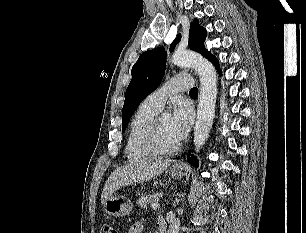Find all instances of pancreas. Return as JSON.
<instances>
[{
  "label": "pancreas",
  "instance_id": "pancreas-1",
  "mask_svg": "<svg viewBox=\"0 0 306 233\" xmlns=\"http://www.w3.org/2000/svg\"><path fill=\"white\" fill-rule=\"evenodd\" d=\"M161 196V193H152L148 194L146 196H142L138 200V205L141 206V208H147L148 204L156 203L159 200V197Z\"/></svg>",
  "mask_w": 306,
  "mask_h": 233
}]
</instances>
